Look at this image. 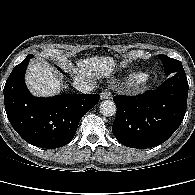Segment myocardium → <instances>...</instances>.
<instances>
[{
  "instance_id": "f54148a6",
  "label": "myocardium",
  "mask_w": 195,
  "mask_h": 195,
  "mask_svg": "<svg viewBox=\"0 0 195 195\" xmlns=\"http://www.w3.org/2000/svg\"><path fill=\"white\" fill-rule=\"evenodd\" d=\"M147 80H148V78L145 77L140 83L145 84L147 82Z\"/></svg>"
}]
</instances>
